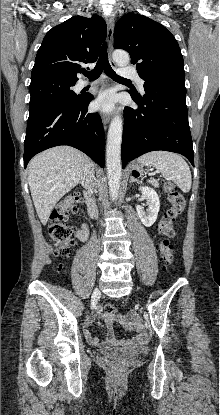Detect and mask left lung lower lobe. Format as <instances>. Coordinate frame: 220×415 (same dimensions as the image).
<instances>
[{"label":"left lung lower lobe","mask_w":220,"mask_h":415,"mask_svg":"<svg viewBox=\"0 0 220 415\" xmlns=\"http://www.w3.org/2000/svg\"><path fill=\"white\" fill-rule=\"evenodd\" d=\"M145 94H131L139 106L124 110L122 167L140 155L164 150L184 155L194 166L184 80L145 81Z\"/></svg>","instance_id":"0a47b994"}]
</instances>
